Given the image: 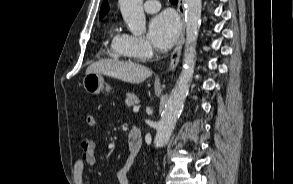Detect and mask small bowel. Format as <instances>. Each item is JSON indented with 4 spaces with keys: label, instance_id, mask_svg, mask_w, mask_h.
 <instances>
[{
    "label": "small bowel",
    "instance_id": "1",
    "mask_svg": "<svg viewBox=\"0 0 293 184\" xmlns=\"http://www.w3.org/2000/svg\"><path fill=\"white\" fill-rule=\"evenodd\" d=\"M95 147V137L85 138L81 141V155L73 165V179L75 184H83L86 168L96 166ZM134 160L135 157H132L129 154L123 166L118 170L117 179L119 184H130L129 171L134 163Z\"/></svg>",
    "mask_w": 293,
    "mask_h": 184
}]
</instances>
